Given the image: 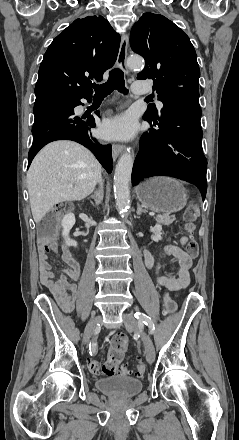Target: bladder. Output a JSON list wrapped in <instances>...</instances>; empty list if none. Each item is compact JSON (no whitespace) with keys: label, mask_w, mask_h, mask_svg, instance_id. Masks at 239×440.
I'll use <instances>...</instances> for the list:
<instances>
[{"label":"bladder","mask_w":239,"mask_h":440,"mask_svg":"<svg viewBox=\"0 0 239 440\" xmlns=\"http://www.w3.org/2000/svg\"><path fill=\"white\" fill-rule=\"evenodd\" d=\"M95 386L105 394L127 398L138 394L143 388V383L131 376H114L97 379Z\"/></svg>","instance_id":"31cf9c89"}]
</instances>
